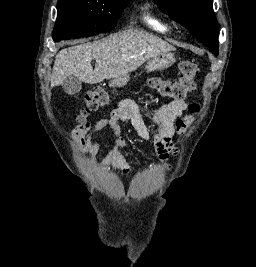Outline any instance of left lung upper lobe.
<instances>
[{
    "label": "left lung upper lobe",
    "mask_w": 256,
    "mask_h": 267,
    "mask_svg": "<svg viewBox=\"0 0 256 267\" xmlns=\"http://www.w3.org/2000/svg\"><path fill=\"white\" fill-rule=\"evenodd\" d=\"M162 11L182 23L199 41L218 55V28L212 0H155Z\"/></svg>",
    "instance_id": "left-lung-upper-lobe-1"
}]
</instances>
